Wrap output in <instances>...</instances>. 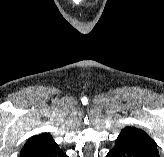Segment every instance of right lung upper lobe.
Here are the masks:
<instances>
[{"mask_svg":"<svg viewBox=\"0 0 164 157\" xmlns=\"http://www.w3.org/2000/svg\"><path fill=\"white\" fill-rule=\"evenodd\" d=\"M52 136L49 133L40 134L37 136L31 137L24 145L21 150V154L19 157H23L27 152L40 145L41 143L51 141Z\"/></svg>","mask_w":164,"mask_h":157,"instance_id":"1","label":"right lung upper lobe"}]
</instances>
